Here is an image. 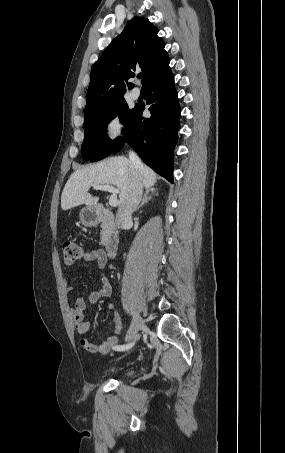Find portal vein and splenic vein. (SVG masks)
Returning <instances> with one entry per match:
<instances>
[{
	"label": "portal vein and splenic vein",
	"instance_id": "1",
	"mask_svg": "<svg viewBox=\"0 0 285 453\" xmlns=\"http://www.w3.org/2000/svg\"><path fill=\"white\" fill-rule=\"evenodd\" d=\"M93 188L95 190H103V191H108L111 193V196L109 198V205L114 207L119 204V201L117 199V194L119 193L118 189H116L112 185H101V184H94Z\"/></svg>",
	"mask_w": 285,
	"mask_h": 453
}]
</instances>
